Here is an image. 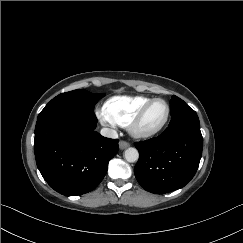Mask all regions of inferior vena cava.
Segmentation results:
<instances>
[{
	"label": "inferior vena cava",
	"mask_w": 243,
	"mask_h": 243,
	"mask_svg": "<svg viewBox=\"0 0 243 243\" xmlns=\"http://www.w3.org/2000/svg\"><path fill=\"white\" fill-rule=\"evenodd\" d=\"M100 134L104 137H108V138H112V139L118 138L117 131L110 129V128H102L100 131Z\"/></svg>",
	"instance_id": "inferior-vena-cava-1"
}]
</instances>
